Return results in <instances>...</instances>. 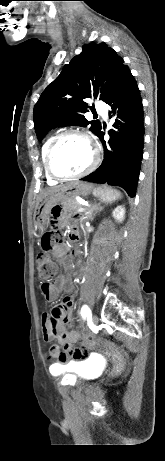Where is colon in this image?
I'll list each match as a JSON object with an SVG mask.
<instances>
[{
	"instance_id": "obj_1",
	"label": "colon",
	"mask_w": 165,
	"mask_h": 461,
	"mask_svg": "<svg viewBox=\"0 0 165 461\" xmlns=\"http://www.w3.org/2000/svg\"><path fill=\"white\" fill-rule=\"evenodd\" d=\"M61 243V235L56 231H47L41 237V250L42 252L37 256L36 265L37 273L39 278L47 279L55 275L56 267L55 264L47 257V253L52 248ZM54 316H59L58 309L52 310ZM77 340H57L56 346L61 348L62 352H67L69 356H72L73 360H83L88 357L90 350L85 344L81 347H77ZM76 348V349H73Z\"/></svg>"
}]
</instances>
